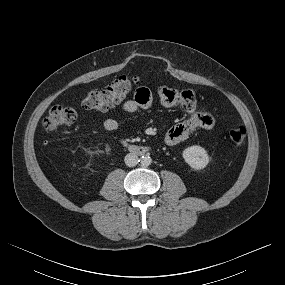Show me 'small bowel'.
<instances>
[{"label": "small bowel", "mask_w": 285, "mask_h": 285, "mask_svg": "<svg viewBox=\"0 0 285 285\" xmlns=\"http://www.w3.org/2000/svg\"><path fill=\"white\" fill-rule=\"evenodd\" d=\"M159 96L165 106L180 105L190 117L171 127L165 134L164 141L167 145H176L186 140L191 133L198 129H212L215 125V118L207 112L196 111V98L190 90H175L168 87H161ZM153 95L149 88L140 87L132 99L122 103L121 108L128 114H134L139 110H147L151 107ZM120 121L107 118L103 122L106 131H115L119 128Z\"/></svg>", "instance_id": "obj_1"}]
</instances>
